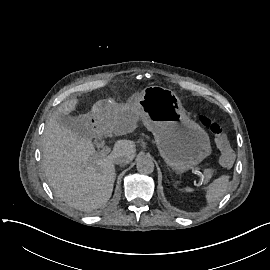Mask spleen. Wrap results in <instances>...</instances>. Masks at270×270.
Masks as SVG:
<instances>
[{"label": "spleen", "mask_w": 270, "mask_h": 270, "mask_svg": "<svg viewBox=\"0 0 270 270\" xmlns=\"http://www.w3.org/2000/svg\"><path fill=\"white\" fill-rule=\"evenodd\" d=\"M230 177L231 176L229 174H223L209 183L207 187H205L204 194L207 203L216 202L224 196L229 187ZM193 192L194 189L190 187H186L183 190V193L187 194Z\"/></svg>", "instance_id": "3e777b00"}]
</instances>
